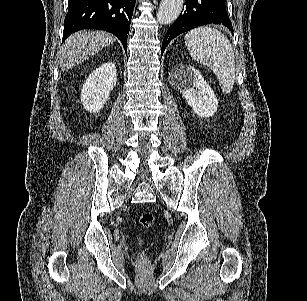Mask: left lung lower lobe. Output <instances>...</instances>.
I'll return each instance as SVG.
<instances>
[{
  "label": "left lung lower lobe",
  "mask_w": 307,
  "mask_h": 301,
  "mask_svg": "<svg viewBox=\"0 0 307 301\" xmlns=\"http://www.w3.org/2000/svg\"><path fill=\"white\" fill-rule=\"evenodd\" d=\"M226 0H185V9L168 29L162 43L161 55L177 35L195 27L217 23L228 27L233 33L231 21L225 9Z\"/></svg>",
  "instance_id": "left-lung-lower-lobe-1"
}]
</instances>
